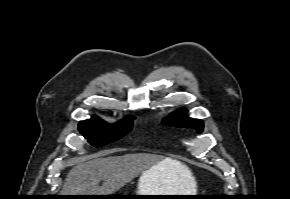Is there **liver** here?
I'll list each match as a JSON object with an SVG mask.
<instances>
[{"mask_svg": "<svg viewBox=\"0 0 290 199\" xmlns=\"http://www.w3.org/2000/svg\"><path fill=\"white\" fill-rule=\"evenodd\" d=\"M158 166L159 176H167L173 192L191 193L194 178L187 166L172 158H158L152 154H127L97 157L73 167L65 179L62 195H110L140 173ZM103 180L102 186L98 183Z\"/></svg>", "mask_w": 290, "mask_h": 199, "instance_id": "6515ba94", "label": "liver"}]
</instances>
